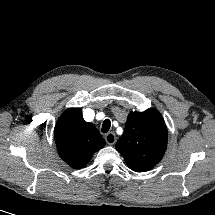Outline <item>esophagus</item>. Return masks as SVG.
<instances>
[{
  "label": "esophagus",
  "mask_w": 215,
  "mask_h": 215,
  "mask_svg": "<svg viewBox=\"0 0 215 215\" xmlns=\"http://www.w3.org/2000/svg\"><path fill=\"white\" fill-rule=\"evenodd\" d=\"M105 140H106L107 144L113 145L116 142V136L113 132H109L105 135Z\"/></svg>",
  "instance_id": "obj_1"
}]
</instances>
